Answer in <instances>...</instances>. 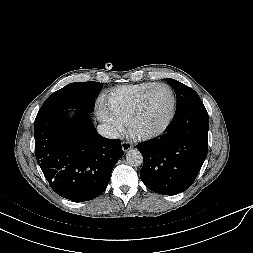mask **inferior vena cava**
I'll return each instance as SVG.
<instances>
[{"instance_id":"obj_1","label":"inferior vena cava","mask_w":253,"mask_h":253,"mask_svg":"<svg viewBox=\"0 0 253 253\" xmlns=\"http://www.w3.org/2000/svg\"><path fill=\"white\" fill-rule=\"evenodd\" d=\"M97 131L101 136H103L105 138H109V139L119 138L118 131L114 127H112L108 124L98 125L97 126Z\"/></svg>"}]
</instances>
